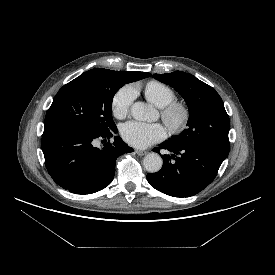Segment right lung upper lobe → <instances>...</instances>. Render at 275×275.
<instances>
[{
  "mask_svg": "<svg viewBox=\"0 0 275 275\" xmlns=\"http://www.w3.org/2000/svg\"><path fill=\"white\" fill-rule=\"evenodd\" d=\"M104 74H113L117 76L119 79H121L123 82H125V84L129 82L138 81L140 79L151 76V74L147 72H139V71L118 72V71H113V70H108L103 68H95V69L89 70L83 73L82 76H99Z\"/></svg>",
  "mask_w": 275,
  "mask_h": 275,
  "instance_id": "cb5924a9",
  "label": "right lung upper lobe"
}]
</instances>
